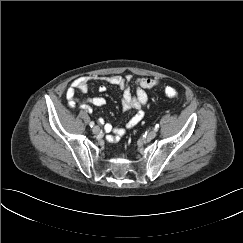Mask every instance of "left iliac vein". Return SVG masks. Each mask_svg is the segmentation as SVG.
Segmentation results:
<instances>
[{
	"label": "left iliac vein",
	"instance_id": "1",
	"mask_svg": "<svg viewBox=\"0 0 243 243\" xmlns=\"http://www.w3.org/2000/svg\"><path fill=\"white\" fill-rule=\"evenodd\" d=\"M156 135H157L156 131L152 130L147 134V138L151 140V139H154L156 137Z\"/></svg>",
	"mask_w": 243,
	"mask_h": 243
}]
</instances>
